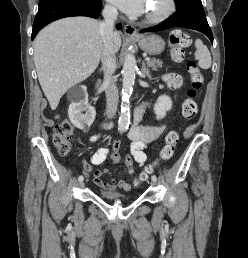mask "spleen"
<instances>
[{"instance_id": "3e777b00", "label": "spleen", "mask_w": 248, "mask_h": 258, "mask_svg": "<svg viewBox=\"0 0 248 258\" xmlns=\"http://www.w3.org/2000/svg\"><path fill=\"white\" fill-rule=\"evenodd\" d=\"M195 58L198 59V65L202 69H209L211 67V55L206 45L200 39L195 41Z\"/></svg>"}]
</instances>
